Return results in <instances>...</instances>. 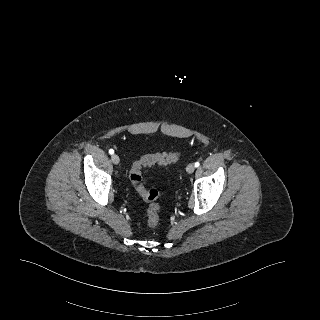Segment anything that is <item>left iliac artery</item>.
I'll use <instances>...</instances> for the list:
<instances>
[{
  "label": "left iliac artery",
  "mask_w": 320,
  "mask_h": 320,
  "mask_svg": "<svg viewBox=\"0 0 320 320\" xmlns=\"http://www.w3.org/2000/svg\"><path fill=\"white\" fill-rule=\"evenodd\" d=\"M200 166V163L199 162H196L195 163V167H199Z\"/></svg>",
  "instance_id": "left-iliac-artery-1"
}]
</instances>
